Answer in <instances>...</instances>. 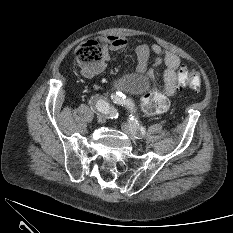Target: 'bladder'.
Masks as SVG:
<instances>
[{"instance_id": "bladder-1", "label": "bladder", "mask_w": 233, "mask_h": 233, "mask_svg": "<svg viewBox=\"0 0 233 233\" xmlns=\"http://www.w3.org/2000/svg\"><path fill=\"white\" fill-rule=\"evenodd\" d=\"M148 80L141 74L126 75L116 82V87L130 93H141L148 88Z\"/></svg>"}]
</instances>
